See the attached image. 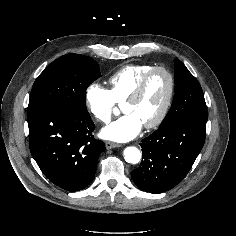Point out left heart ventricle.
Listing matches in <instances>:
<instances>
[{"instance_id":"obj_1","label":"left heart ventricle","mask_w":236,"mask_h":236,"mask_svg":"<svg viewBox=\"0 0 236 236\" xmlns=\"http://www.w3.org/2000/svg\"><path fill=\"white\" fill-rule=\"evenodd\" d=\"M168 92V79L162 72L154 73L143 94L134 102L123 105V111L134 113L144 124L153 121L161 111Z\"/></svg>"}]
</instances>
